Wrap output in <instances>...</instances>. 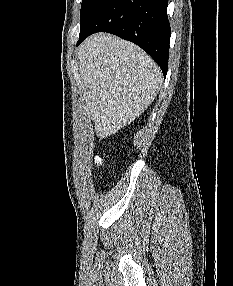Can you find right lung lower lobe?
Instances as JSON below:
<instances>
[{
    "label": "right lung lower lobe",
    "instance_id": "right-lung-lower-lobe-1",
    "mask_svg": "<svg viewBox=\"0 0 233 286\" xmlns=\"http://www.w3.org/2000/svg\"><path fill=\"white\" fill-rule=\"evenodd\" d=\"M167 5L168 0H99L81 22L77 45L93 33H112L144 49L166 76L171 36Z\"/></svg>",
    "mask_w": 233,
    "mask_h": 286
}]
</instances>
